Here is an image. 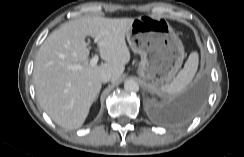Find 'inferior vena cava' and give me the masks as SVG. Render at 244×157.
Instances as JSON below:
<instances>
[{
  "mask_svg": "<svg viewBox=\"0 0 244 157\" xmlns=\"http://www.w3.org/2000/svg\"><path fill=\"white\" fill-rule=\"evenodd\" d=\"M112 75L111 73L109 72H103L100 76H99V80L102 82V83H106L108 81H110Z\"/></svg>",
  "mask_w": 244,
  "mask_h": 157,
  "instance_id": "602c4592",
  "label": "inferior vena cava"
}]
</instances>
